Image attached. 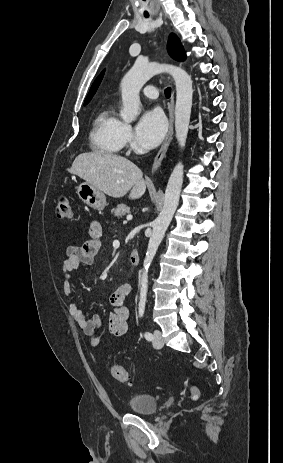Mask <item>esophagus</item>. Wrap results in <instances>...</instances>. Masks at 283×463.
Listing matches in <instances>:
<instances>
[{
    "label": "esophagus",
    "instance_id": "obj_1",
    "mask_svg": "<svg viewBox=\"0 0 283 463\" xmlns=\"http://www.w3.org/2000/svg\"><path fill=\"white\" fill-rule=\"evenodd\" d=\"M168 112H169V129H168L166 138L154 159V162L152 165V174L155 173L157 169L160 167L161 162L163 158L165 157V154L167 152V149L172 139L173 125H174V93H172L171 100L168 104Z\"/></svg>",
    "mask_w": 283,
    "mask_h": 463
}]
</instances>
